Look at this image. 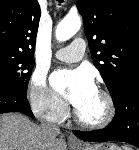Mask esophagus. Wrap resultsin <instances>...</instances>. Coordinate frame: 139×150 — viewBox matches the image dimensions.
Here are the masks:
<instances>
[{
  "label": "esophagus",
  "instance_id": "esophagus-1",
  "mask_svg": "<svg viewBox=\"0 0 139 150\" xmlns=\"http://www.w3.org/2000/svg\"><path fill=\"white\" fill-rule=\"evenodd\" d=\"M68 142L72 145H81V142L72 133L68 136Z\"/></svg>",
  "mask_w": 139,
  "mask_h": 150
}]
</instances>
